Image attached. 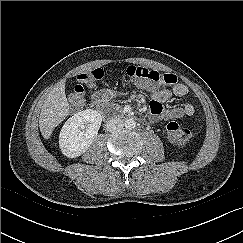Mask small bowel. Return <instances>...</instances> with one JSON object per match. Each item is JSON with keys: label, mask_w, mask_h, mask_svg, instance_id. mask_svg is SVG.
<instances>
[{"label": "small bowel", "mask_w": 243, "mask_h": 243, "mask_svg": "<svg viewBox=\"0 0 243 243\" xmlns=\"http://www.w3.org/2000/svg\"><path fill=\"white\" fill-rule=\"evenodd\" d=\"M136 85L147 90L150 94L151 102L149 105V115L152 121H156L158 119H179L193 115L194 108L190 104L176 106L173 108H166L165 106L171 100L173 95L179 97L185 96L188 93V88L186 85L179 83L176 84L172 89H159L155 86L140 83H136ZM90 86L94 87V84H91ZM114 94L115 93L110 90H100L94 93L93 100L95 102L98 100H107Z\"/></svg>", "instance_id": "obj_1"}]
</instances>
